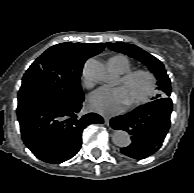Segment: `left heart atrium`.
I'll return each mask as SVG.
<instances>
[{"label": "left heart atrium", "instance_id": "left-heart-atrium-1", "mask_svg": "<svg viewBox=\"0 0 194 193\" xmlns=\"http://www.w3.org/2000/svg\"><path fill=\"white\" fill-rule=\"evenodd\" d=\"M88 104L97 113L112 115L122 111L127 101L122 87H101L91 94Z\"/></svg>", "mask_w": 194, "mask_h": 193}]
</instances>
